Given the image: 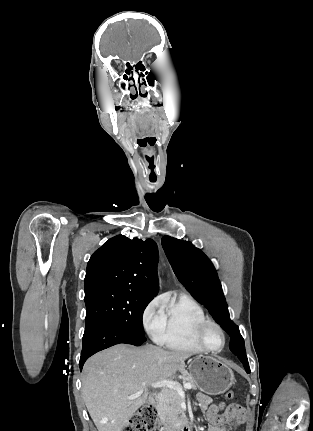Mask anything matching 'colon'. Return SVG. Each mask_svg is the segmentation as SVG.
<instances>
[{
	"mask_svg": "<svg viewBox=\"0 0 313 431\" xmlns=\"http://www.w3.org/2000/svg\"><path fill=\"white\" fill-rule=\"evenodd\" d=\"M227 399L234 398V392H226ZM124 431H160L157 410L152 405L143 406L129 420Z\"/></svg>",
	"mask_w": 313,
	"mask_h": 431,
	"instance_id": "5ec220e1",
	"label": "colon"
}]
</instances>
